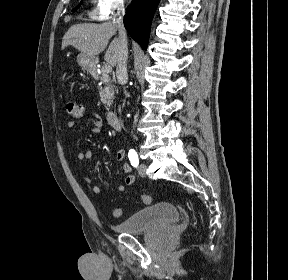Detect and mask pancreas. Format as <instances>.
<instances>
[{"label": "pancreas", "mask_w": 288, "mask_h": 280, "mask_svg": "<svg viewBox=\"0 0 288 280\" xmlns=\"http://www.w3.org/2000/svg\"><path fill=\"white\" fill-rule=\"evenodd\" d=\"M100 83L103 86H100V98L101 101L107 106H110V103L113 100L114 96V90L113 85L111 84L109 76L103 71V68L101 69V76H100ZM108 109V108H107Z\"/></svg>", "instance_id": "cf45deb5"}]
</instances>
